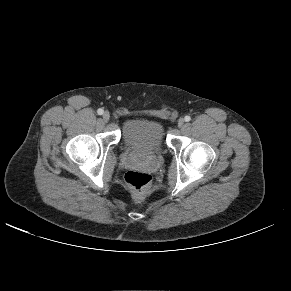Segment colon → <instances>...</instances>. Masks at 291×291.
<instances>
[{
    "instance_id": "1",
    "label": "colon",
    "mask_w": 291,
    "mask_h": 291,
    "mask_svg": "<svg viewBox=\"0 0 291 291\" xmlns=\"http://www.w3.org/2000/svg\"><path fill=\"white\" fill-rule=\"evenodd\" d=\"M125 181L137 198H141L147 192L151 184V176L142 171L131 170L125 175Z\"/></svg>"
}]
</instances>
